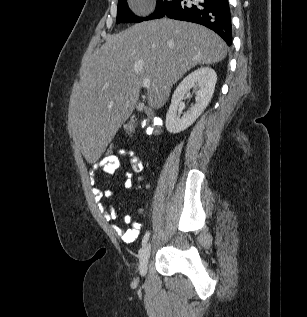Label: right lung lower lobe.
I'll use <instances>...</instances> for the list:
<instances>
[{"instance_id": "obj_1", "label": "right lung lower lobe", "mask_w": 307, "mask_h": 317, "mask_svg": "<svg viewBox=\"0 0 307 317\" xmlns=\"http://www.w3.org/2000/svg\"><path fill=\"white\" fill-rule=\"evenodd\" d=\"M164 16L204 25L220 35L228 46L232 43L228 0H200L192 5H188L186 0H176L158 18Z\"/></svg>"}]
</instances>
